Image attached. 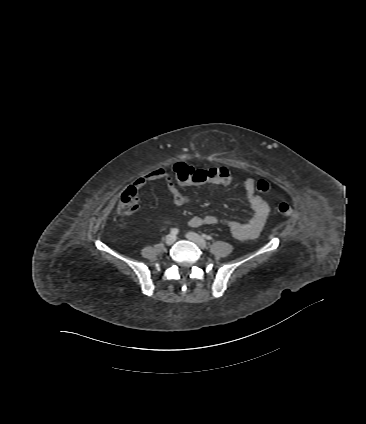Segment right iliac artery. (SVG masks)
Segmentation results:
<instances>
[{
    "instance_id": "1",
    "label": "right iliac artery",
    "mask_w": 366,
    "mask_h": 424,
    "mask_svg": "<svg viewBox=\"0 0 366 424\" xmlns=\"http://www.w3.org/2000/svg\"><path fill=\"white\" fill-rule=\"evenodd\" d=\"M178 232H179V230L177 229V228H173L172 230H171V234L172 235H177L178 234Z\"/></svg>"
}]
</instances>
